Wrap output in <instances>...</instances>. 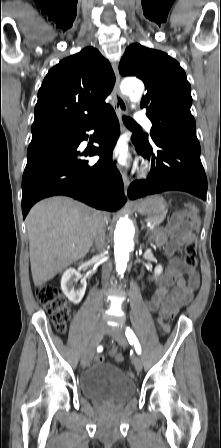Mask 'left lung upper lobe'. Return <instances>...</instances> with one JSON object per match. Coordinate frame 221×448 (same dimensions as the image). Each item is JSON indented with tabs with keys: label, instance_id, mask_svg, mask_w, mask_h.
Segmentation results:
<instances>
[{
	"label": "left lung upper lobe",
	"instance_id": "1",
	"mask_svg": "<svg viewBox=\"0 0 221 448\" xmlns=\"http://www.w3.org/2000/svg\"><path fill=\"white\" fill-rule=\"evenodd\" d=\"M123 76L140 78L146 89L141 108L152 122L151 138L165 136L198 142L196 123L190 112L191 87L179 63L166 53L132 44L119 64ZM150 145L147 135L137 137Z\"/></svg>",
	"mask_w": 221,
	"mask_h": 448
}]
</instances>
